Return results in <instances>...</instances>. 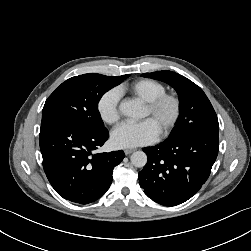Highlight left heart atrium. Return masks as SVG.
<instances>
[{"label":"left heart atrium","mask_w":251,"mask_h":251,"mask_svg":"<svg viewBox=\"0 0 251 251\" xmlns=\"http://www.w3.org/2000/svg\"><path fill=\"white\" fill-rule=\"evenodd\" d=\"M158 135L155 123L149 118L138 123L120 124L113 130L111 141L118 148H134L154 142Z\"/></svg>","instance_id":"left-heart-atrium-1"}]
</instances>
